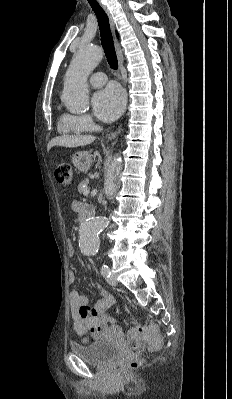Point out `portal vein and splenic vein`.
Instances as JSON below:
<instances>
[{"label":"portal vein and splenic vein","mask_w":232,"mask_h":399,"mask_svg":"<svg viewBox=\"0 0 232 399\" xmlns=\"http://www.w3.org/2000/svg\"><path fill=\"white\" fill-rule=\"evenodd\" d=\"M89 194V190H85V192H83V196H88Z\"/></svg>","instance_id":"obj_1"}]
</instances>
